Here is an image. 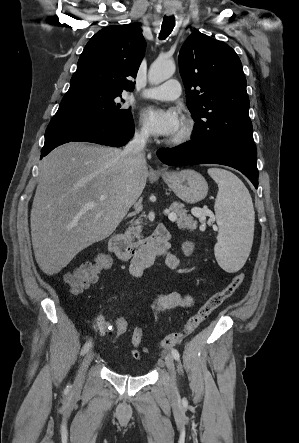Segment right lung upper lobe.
Returning a JSON list of instances; mask_svg holds the SVG:
<instances>
[{
	"instance_id": "obj_1",
	"label": "right lung upper lobe",
	"mask_w": 299,
	"mask_h": 443,
	"mask_svg": "<svg viewBox=\"0 0 299 443\" xmlns=\"http://www.w3.org/2000/svg\"><path fill=\"white\" fill-rule=\"evenodd\" d=\"M146 42L134 24L107 26L97 32L80 55L70 88L92 87L132 91Z\"/></svg>"
}]
</instances>
